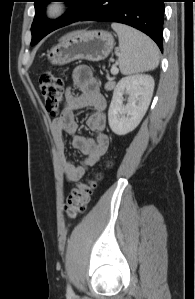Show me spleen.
Returning a JSON list of instances; mask_svg holds the SVG:
<instances>
[{"instance_id": "obj_1", "label": "spleen", "mask_w": 195, "mask_h": 299, "mask_svg": "<svg viewBox=\"0 0 195 299\" xmlns=\"http://www.w3.org/2000/svg\"><path fill=\"white\" fill-rule=\"evenodd\" d=\"M111 27L118 35V64L123 75L150 71L158 66L159 48L148 36L121 23H112Z\"/></svg>"}]
</instances>
